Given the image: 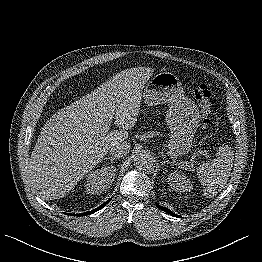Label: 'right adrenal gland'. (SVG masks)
<instances>
[{
	"label": "right adrenal gland",
	"instance_id": "2a0ac1e0",
	"mask_svg": "<svg viewBox=\"0 0 262 262\" xmlns=\"http://www.w3.org/2000/svg\"><path fill=\"white\" fill-rule=\"evenodd\" d=\"M104 159H105V160L109 159V160L111 161V163H113L114 160H117V158L112 157V156L106 157V158H104Z\"/></svg>",
	"mask_w": 262,
	"mask_h": 262
}]
</instances>
